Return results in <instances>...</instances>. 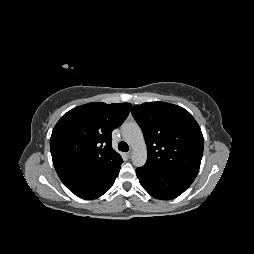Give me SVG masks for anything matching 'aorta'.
Returning <instances> with one entry per match:
<instances>
[{
    "label": "aorta",
    "instance_id": "obj_1",
    "mask_svg": "<svg viewBox=\"0 0 254 254\" xmlns=\"http://www.w3.org/2000/svg\"><path fill=\"white\" fill-rule=\"evenodd\" d=\"M122 135L126 143L132 148V162L136 167H142L147 161V149L143 133L135 122L122 125Z\"/></svg>",
    "mask_w": 254,
    "mask_h": 254
}]
</instances>
